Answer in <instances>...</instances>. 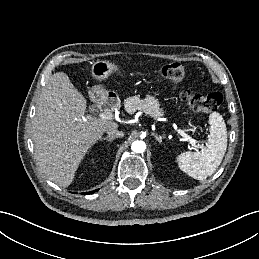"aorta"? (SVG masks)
Returning a JSON list of instances; mask_svg holds the SVG:
<instances>
[{
  "instance_id": "762f6f07",
  "label": "aorta",
  "mask_w": 259,
  "mask_h": 259,
  "mask_svg": "<svg viewBox=\"0 0 259 259\" xmlns=\"http://www.w3.org/2000/svg\"><path fill=\"white\" fill-rule=\"evenodd\" d=\"M146 149V144L143 141H134L131 144V150L135 153H143Z\"/></svg>"
}]
</instances>
